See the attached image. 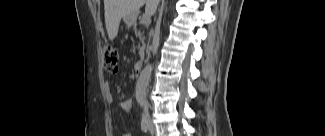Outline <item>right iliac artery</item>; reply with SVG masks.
<instances>
[{"label": "right iliac artery", "instance_id": "obj_1", "mask_svg": "<svg viewBox=\"0 0 325 136\" xmlns=\"http://www.w3.org/2000/svg\"><path fill=\"white\" fill-rule=\"evenodd\" d=\"M141 129L142 131L146 132L148 129V119L146 116L143 115L141 120Z\"/></svg>", "mask_w": 325, "mask_h": 136}]
</instances>
